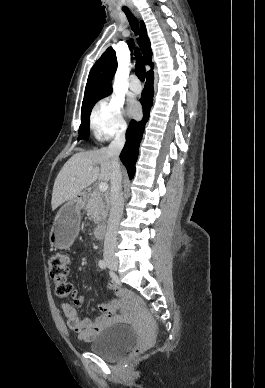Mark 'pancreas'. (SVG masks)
Wrapping results in <instances>:
<instances>
[{"label": "pancreas", "mask_w": 265, "mask_h": 388, "mask_svg": "<svg viewBox=\"0 0 265 388\" xmlns=\"http://www.w3.org/2000/svg\"><path fill=\"white\" fill-rule=\"evenodd\" d=\"M109 198L108 194L95 190L93 194H90V198L85 206V210L91 214L94 224H100L102 220L107 218L109 212Z\"/></svg>", "instance_id": "obj_1"}]
</instances>
